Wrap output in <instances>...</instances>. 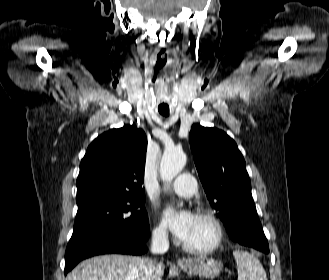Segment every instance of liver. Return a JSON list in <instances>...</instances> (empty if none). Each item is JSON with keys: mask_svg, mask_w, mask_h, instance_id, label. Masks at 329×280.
Instances as JSON below:
<instances>
[{"mask_svg": "<svg viewBox=\"0 0 329 280\" xmlns=\"http://www.w3.org/2000/svg\"><path fill=\"white\" fill-rule=\"evenodd\" d=\"M142 258L126 255H101L81 262L67 280H141ZM164 267L155 271L154 280H161Z\"/></svg>", "mask_w": 329, "mask_h": 280, "instance_id": "liver-1", "label": "liver"}]
</instances>
